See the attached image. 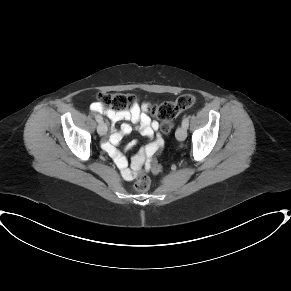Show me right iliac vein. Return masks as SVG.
Listing matches in <instances>:
<instances>
[{
	"instance_id": "63e3f726",
	"label": "right iliac vein",
	"mask_w": 291,
	"mask_h": 291,
	"mask_svg": "<svg viewBox=\"0 0 291 291\" xmlns=\"http://www.w3.org/2000/svg\"><path fill=\"white\" fill-rule=\"evenodd\" d=\"M97 132L99 135H105L107 133V126L105 123L101 122L98 126H97Z\"/></svg>"
}]
</instances>
